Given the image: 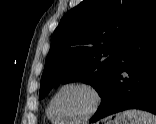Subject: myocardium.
I'll return each mask as SVG.
<instances>
[{
	"label": "myocardium",
	"instance_id": "1",
	"mask_svg": "<svg viewBox=\"0 0 156 124\" xmlns=\"http://www.w3.org/2000/svg\"><path fill=\"white\" fill-rule=\"evenodd\" d=\"M68 88H84V89L88 90L94 98V103H93L91 110L85 116H83L79 119H75V120L62 119V121L64 123H69V124H78V123H83V122H86V121L92 119L100 110V108L103 104L104 95H103L101 89L96 84L88 82V81H73V82H69V83L62 85L52 96L50 103H49V108H50V111L53 114V116L55 118H59L55 113V102H56L57 97L64 90H66Z\"/></svg>",
	"mask_w": 156,
	"mask_h": 124
}]
</instances>
